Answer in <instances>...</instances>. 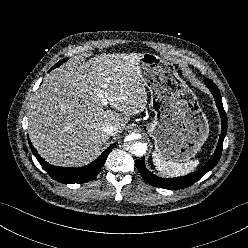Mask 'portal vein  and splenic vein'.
Returning a JSON list of instances; mask_svg holds the SVG:
<instances>
[{
    "label": "portal vein and splenic vein",
    "mask_w": 248,
    "mask_h": 248,
    "mask_svg": "<svg viewBox=\"0 0 248 248\" xmlns=\"http://www.w3.org/2000/svg\"><path fill=\"white\" fill-rule=\"evenodd\" d=\"M102 104L106 105L107 104V99H102Z\"/></svg>",
    "instance_id": "1"
}]
</instances>
